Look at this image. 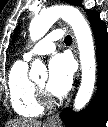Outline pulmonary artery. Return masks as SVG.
<instances>
[{
    "instance_id": "e3ab8cb5",
    "label": "pulmonary artery",
    "mask_w": 108,
    "mask_h": 127,
    "mask_svg": "<svg viewBox=\"0 0 108 127\" xmlns=\"http://www.w3.org/2000/svg\"><path fill=\"white\" fill-rule=\"evenodd\" d=\"M62 37L60 30L50 32L46 37L40 40L35 46L24 54V60L29 61L38 55H45L52 53L55 50V41Z\"/></svg>"
}]
</instances>
